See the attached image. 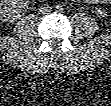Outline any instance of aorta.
Listing matches in <instances>:
<instances>
[{
    "mask_svg": "<svg viewBox=\"0 0 111 106\" xmlns=\"http://www.w3.org/2000/svg\"><path fill=\"white\" fill-rule=\"evenodd\" d=\"M56 8H57L58 10H60V9H61V6H57Z\"/></svg>",
    "mask_w": 111,
    "mask_h": 106,
    "instance_id": "1",
    "label": "aorta"
}]
</instances>
